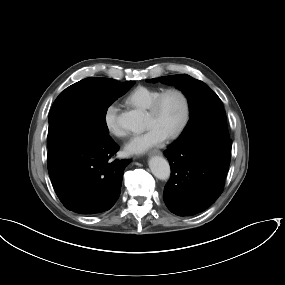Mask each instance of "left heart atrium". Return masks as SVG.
<instances>
[{
	"instance_id": "1",
	"label": "left heart atrium",
	"mask_w": 285,
	"mask_h": 285,
	"mask_svg": "<svg viewBox=\"0 0 285 285\" xmlns=\"http://www.w3.org/2000/svg\"><path fill=\"white\" fill-rule=\"evenodd\" d=\"M166 135L157 127H150L145 133L134 135L125 145L129 154H140L148 151L154 146L161 144Z\"/></svg>"
}]
</instances>
